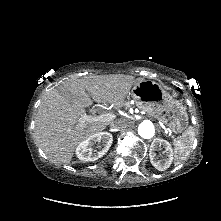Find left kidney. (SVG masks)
I'll use <instances>...</instances> for the list:
<instances>
[{
    "instance_id": "left-kidney-1",
    "label": "left kidney",
    "mask_w": 221,
    "mask_h": 221,
    "mask_svg": "<svg viewBox=\"0 0 221 221\" xmlns=\"http://www.w3.org/2000/svg\"><path fill=\"white\" fill-rule=\"evenodd\" d=\"M163 147L164 151V159L157 160L156 159V151L158 148ZM151 164L159 171H164L170 167L173 161V150L170 143L164 139L156 138L151 143L150 151H149Z\"/></svg>"
}]
</instances>
